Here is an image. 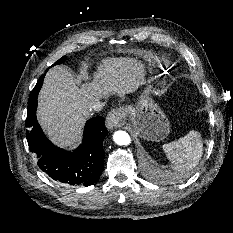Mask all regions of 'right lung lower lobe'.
<instances>
[{"mask_svg":"<svg viewBox=\"0 0 233 233\" xmlns=\"http://www.w3.org/2000/svg\"><path fill=\"white\" fill-rule=\"evenodd\" d=\"M45 74L40 77L28 101L25 125L29 150L38 158V166L52 179L73 186H90L104 168L103 140L108 134L104 118L94 117L85 125L82 144L73 152L53 145L42 132L37 119V97Z\"/></svg>","mask_w":233,"mask_h":233,"instance_id":"1","label":"right lung lower lobe"}]
</instances>
